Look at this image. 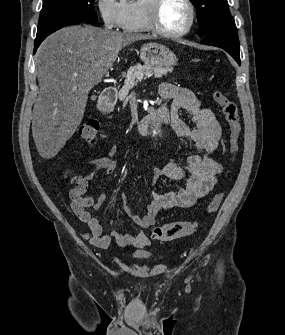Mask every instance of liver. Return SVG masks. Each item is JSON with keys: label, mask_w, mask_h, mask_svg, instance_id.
I'll return each instance as SVG.
<instances>
[{"label": "liver", "mask_w": 285, "mask_h": 335, "mask_svg": "<svg viewBox=\"0 0 285 335\" xmlns=\"http://www.w3.org/2000/svg\"><path fill=\"white\" fill-rule=\"evenodd\" d=\"M152 40L95 26H68L44 40L35 56L40 94L32 114V136L41 158H54L79 128L88 94L101 84L122 48Z\"/></svg>", "instance_id": "obj_1"}]
</instances>
